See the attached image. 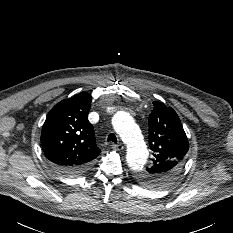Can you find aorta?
<instances>
[{
    "label": "aorta",
    "mask_w": 233,
    "mask_h": 233,
    "mask_svg": "<svg viewBox=\"0 0 233 233\" xmlns=\"http://www.w3.org/2000/svg\"><path fill=\"white\" fill-rule=\"evenodd\" d=\"M113 126L127 146L126 161L133 170H140L147 161L148 151L139 126L127 112L119 111L113 117Z\"/></svg>",
    "instance_id": "obj_1"
}]
</instances>
